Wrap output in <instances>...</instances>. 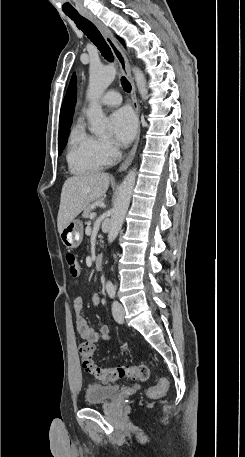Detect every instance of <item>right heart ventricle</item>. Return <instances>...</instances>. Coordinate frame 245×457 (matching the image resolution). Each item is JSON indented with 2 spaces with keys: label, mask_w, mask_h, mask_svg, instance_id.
<instances>
[{
  "label": "right heart ventricle",
  "mask_w": 245,
  "mask_h": 457,
  "mask_svg": "<svg viewBox=\"0 0 245 457\" xmlns=\"http://www.w3.org/2000/svg\"><path fill=\"white\" fill-rule=\"evenodd\" d=\"M69 159L72 166L83 170H100L109 162L99 153L96 139L81 124H75L71 129Z\"/></svg>",
  "instance_id": "1"
}]
</instances>
